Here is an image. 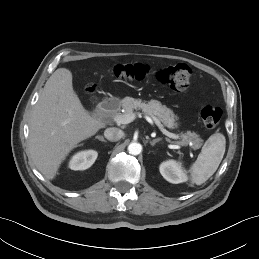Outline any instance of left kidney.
Here are the masks:
<instances>
[{
    "mask_svg": "<svg viewBox=\"0 0 259 259\" xmlns=\"http://www.w3.org/2000/svg\"><path fill=\"white\" fill-rule=\"evenodd\" d=\"M159 170L163 178L173 184L186 182L188 179L185 171L181 167V164L174 160L163 162L160 165Z\"/></svg>",
    "mask_w": 259,
    "mask_h": 259,
    "instance_id": "1",
    "label": "left kidney"
}]
</instances>
